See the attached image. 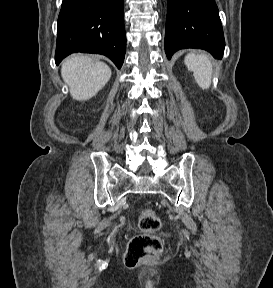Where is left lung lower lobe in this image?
Instances as JSON below:
<instances>
[{
	"mask_svg": "<svg viewBox=\"0 0 273 288\" xmlns=\"http://www.w3.org/2000/svg\"><path fill=\"white\" fill-rule=\"evenodd\" d=\"M185 48L204 49L214 58H222L225 40L215 0H168L167 58Z\"/></svg>",
	"mask_w": 273,
	"mask_h": 288,
	"instance_id": "1",
	"label": "left lung lower lobe"
}]
</instances>
